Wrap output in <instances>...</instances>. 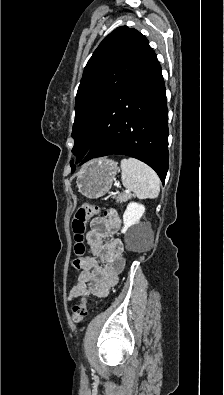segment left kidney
Masks as SVG:
<instances>
[{"instance_id": "obj_1", "label": "left kidney", "mask_w": 224, "mask_h": 395, "mask_svg": "<svg viewBox=\"0 0 224 395\" xmlns=\"http://www.w3.org/2000/svg\"><path fill=\"white\" fill-rule=\"evenodd\" d=\"M144 212L145 207L142 204H139L137 202H130L123 214L124 226L121 232L124 233L128 228L139 223Z\"/></svg>"}]
</instances>
